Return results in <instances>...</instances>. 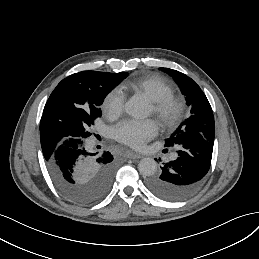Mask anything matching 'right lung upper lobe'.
<instances>
[{
	"label": "right lung upper lobe",
	"mask_w": 259,
	"mask_h": 259,
	"mask_svg": "<svg viewBox=\"0 0 259 259\" xmlns=\"http://www.w3.org/2000/svg\"><path fill=\"white\" fill-rule=\"evenodd\" d=\"M111 73L82 71L63 79L51 93L40 121V141L45 160H49L62 143L60 129L75 111L86 103L90 87Z\"/></svg>",
	"instance_id": "1"
}]
</instances>
